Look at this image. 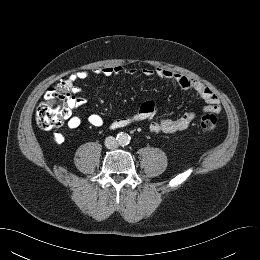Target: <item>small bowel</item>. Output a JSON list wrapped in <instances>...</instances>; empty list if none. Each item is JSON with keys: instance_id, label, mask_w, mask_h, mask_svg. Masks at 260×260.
Returning <instances> with one entry per match:
<instances>
[{"instance_id": "c3829d8e", "label": "small bowel", "mask_w": 260, "mask_h": 260, "mask_svg": "<svg viewBox=\"0 0 260 260\" xmlns=\"http://www.w3.org/2000/svg\"><path fill=\"white\" fill-rule=\"evenodd\" d=\"M121 73L128 75H136L137 70L135 68H124L120 65L105 66L93 70L92 72L77 71L71 75V80L77 82L89 78L92 75L111 77ZM142 75L145 77H160L164 79L173 80L182 90H192L197 93L200 98L205 102L203 112H219L221 109L218 96L203 82L191 78L189 76L175 73L167 68H152L144 67L141 70ZM78 90V88H76ZM82 100L75 98L69 106V112L65 119L67 120V126L70 129H76L81 125V118L72 114V111L81 106ZM156 106L152 101L143 102L136 113L128 117H122L113 120L109 124V128L112 130L120 129L131 124L139 122H148L150 131L154 134H171L186 129L195 119L196 114L194 112H187L178 118H160L155 120ZM88 121L92 126L100 127L103 125V119L99 114L93 113L89 115ZM55 140L57 143H61L64 137L61 133L55 134Z\"/></svg>"}]
</instances>
